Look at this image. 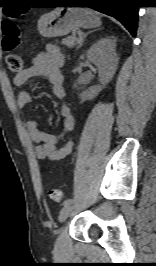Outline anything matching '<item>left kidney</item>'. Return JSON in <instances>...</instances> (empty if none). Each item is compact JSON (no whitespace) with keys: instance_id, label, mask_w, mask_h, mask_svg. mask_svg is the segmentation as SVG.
I'll list each match as a JSON object with an SVG mask.
<instances>
[{"instance_id":"1","label":"left kidney","mask_w":156,"mask_h":266,"mask_svg":"<svg viewBox=\"0 0 156 266\" xmlns=\"http://www.w3.org/2000/svg\"><path fill=\"white\" fill-rule=\"evenodd\" d=\"M87 57L98 68L100 84L82 92L79 95L82 101L95 98L114 76L118 65L116 39L110 37L99 39L87 51Z\"/></svg>"}]
</instances>
